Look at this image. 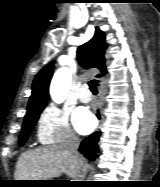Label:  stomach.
Returning <instances> with one entry per match:
<instances>
[{
    "label": "stomach",
    "instance_id": "obj_1",
    "mask_svg": "<svg viewBox=\"0 0 160 187\" xmlns=\"http://www.w3.org/2000/svg\"><path fill=\"white\" fill-rule=\"evenodd\" d=\"M43 183H45V182H36V185H38V186H44Z\"/></svg>",
    "mask_w": 160,
    "mask_h": 187
}]
</instances>
